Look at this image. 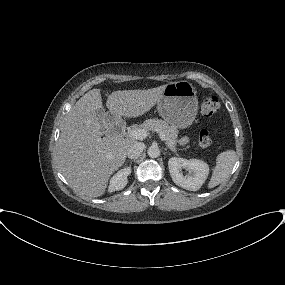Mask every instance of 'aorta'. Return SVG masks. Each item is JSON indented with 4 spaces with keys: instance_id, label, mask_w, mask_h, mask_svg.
<instances>
[{
    "instance_id": "1",
    "label": "aorta",
    "mask_w": 285,
    "mask_h": 285,
    "mask_svg": "<svg viewBox=\"0 0 285 285\" xmlns=\"http://www.w3.org/2000/svg\"><path fill=\"white\" fill-rule=\"evenodd\" d=\"M147 154L150 158H157L160 156V149L158 146H150L147 150Z\"/></svg>"
}]
</instances>
